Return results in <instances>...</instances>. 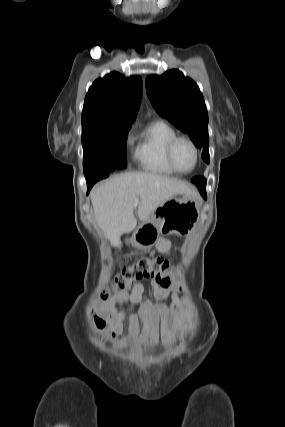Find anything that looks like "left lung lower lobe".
Listing matches in <instances>:
<instances>
[{
  "instance_id": "1",
  "label": "left lung lower lobe",
  "mask_w": 285,
  "mask_h": 427,
  "mask_svg": "<svg viewBox=\"0 0 285 427\" xmlns=\"http://www.w3.org/2000/svg\"><path fill=\"white\" fill-rule=\"evenodd\" d=\"M192 181L198 186L201 195L204 198H206L207 197L206 191H205L206 180L202 177H195L192 179Z\"/></svg>"
}]
</instances>
